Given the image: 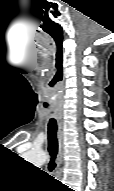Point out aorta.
Listing matches in <instances>:
<instances>
[{"mask_svg":"<svg viewBox=\"0 0 114 191\" xmlns=\"http://www.w3.org/2000/svg\"><path fill=\"white\" fill-rule=\"evenodd\" d=\"M27 161L35 165H42L46 161V155L42 151L31 150L25 155Z\"/></svg>","mask_w":114,"mask_h":191,"instance_id":"762f6f07","label":"aorta"}]
</instances>
